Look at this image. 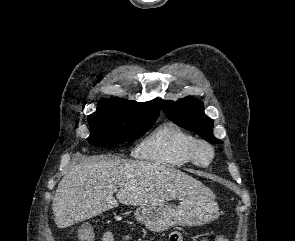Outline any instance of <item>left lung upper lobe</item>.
Returning <instances> with one entry per match:
<instances>
[{"instance_id":"obj_1","label":"left lung upper lobe","mask_w":295,"mask_h":241,"mask_svg":"<svg viewBox=\"0 0 295 241\" xmlns=\"http://www.w3.org/2000/svg\"><path fill=\"white\" fill-rule=\"evenodd\" d=\"M162 110L174 123L193 131L206 141L219 144V139L213 136V120L204 113L203 103L194 97H186L176 102L161 99Z\"/></svg>"}]
</instances>
